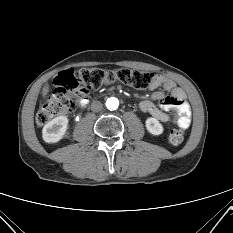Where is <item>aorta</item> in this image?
<instances>
[{
    "instance_id": "aorta-1",
    "label": "aorta",
    "mask_w": 233,
    "mask_h": 233,
    "mask_svg": "<svg viewBox=\"0 0 233 233\" xmlns=\"http://www.w3.org/2000/svg\"><path fill=\"white\" fill-rule=\"evenodd\" d=\"M119 106V100L115 97H110L106 101V107L109 110H116Z\"/></svg>"
}]
</instances>
